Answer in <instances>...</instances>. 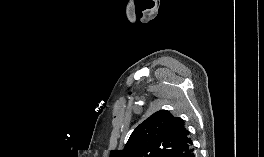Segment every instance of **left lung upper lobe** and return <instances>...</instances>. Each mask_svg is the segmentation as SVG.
Returning a JSON list of instances; mask_svg holds the SVG:
<instances>
[{
    "instance_id": "5c2ea615",
    "label": "left lung upper lobe",
    "mask_w": 264,
    "mask_h": 157,
    "mask_svg": "<svg viewBox=\"0 0 264 157\" xmlns=\"http://www.w3.org/2000/svg\"><path fill=\"white\" fill-rule=\"evenodd\" d=\"M192 150L184 121L160 110L133 131L123 150H112L110 157H189Z\"/></svg>"
}]
</instances>
